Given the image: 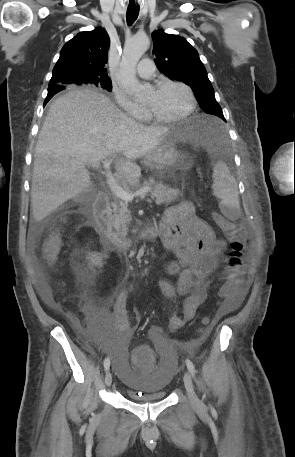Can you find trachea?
<instances>
[{
	"instance_id": "obj_1",
	"label": "trachea",
	"mask_w": 295,
	"mask_h": 457,
	"mask_svg": "<svg viewBox=\"0 0 295 457\" xmlns=\"http://www.w3.org/2000/svg\"><path fill=\"white\" fill-rule=\"evenodd\" d=\"M139 15V9L133 4L129 5L126 13L127 24L131 26Z\"/></svg>"
}]
</instances>
